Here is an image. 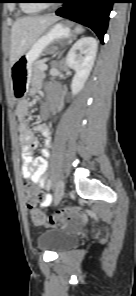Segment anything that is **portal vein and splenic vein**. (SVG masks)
Instances as JSON below:
<instances>
[{"label": "portal vein and splenic vein", "mask_w": 136, "mask_h": 296, "mask_svg": "<svg viewBox=\"0 0 136 296\" xmlns=\"http://www.w3.org/2000/svg\"><path fill=\"white\" fill-rule=\"evenodd\" d=\"M40 69H41V70H45V69H47V66L43 65V66H41Z\"/></svg>", "instance_id": "portal-vein-and-splenic-vein-1"}]
</instances>
